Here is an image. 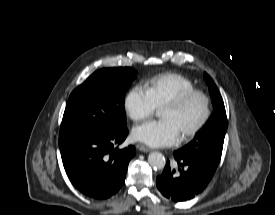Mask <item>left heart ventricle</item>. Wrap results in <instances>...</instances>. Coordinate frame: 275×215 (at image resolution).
Returning a JSON list of instances; mask_svg holds the SVG:
<instances>
[{
	"label": "left heart ventricle",
	"mask_w": 275,
	"mask_h": 215,
	"mask_svg": "<svg viewBox=\"0 0 275 215\" xmlns=\"http://www.w3.org/2000/svg\"><path fill=\"white\" fill-rule=\"evenodd\" d=\"M204 111V100L201 97L196 96L179 109L170 107L162 108L160 116L162 119L172 121L180 136H183L201 120Z\"/></svg>",
	"instance_id": "obj_1"
}]
</instances>
